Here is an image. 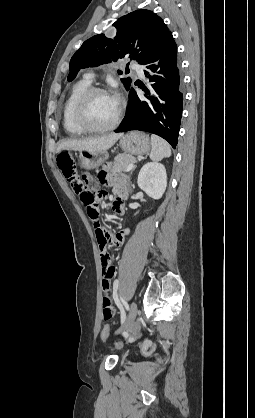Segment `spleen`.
<instances>
[{"label":"spleen","mask_w":255,"mask_h":418,"mask_svg":"<svg viewBox=\"0 0 255 418\" xmlns=\"http://www.w3.org/2000/svg\"><path fill=\"white\" fill-rule=\"evenodd\" d=\"M152 150L150 159L152 161H160L163 158L171 156V148L167 141L157 135H151Z\"/></svg>","instance_id":"obj_1"}]
</instances>
